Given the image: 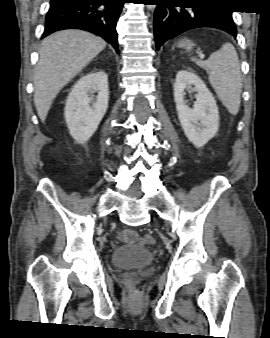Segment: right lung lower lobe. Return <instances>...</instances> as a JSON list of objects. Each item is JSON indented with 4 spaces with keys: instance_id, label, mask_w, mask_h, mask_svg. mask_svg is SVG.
<instances>
[{
    "instance_id": "1",
    "label": "right lung lower lobe",
    "mask_w": 270,
    "mask_h": 338,
    "mask_svg": "<svg viewBox=\"0 0 270 338\" xmlns=\"http://www.w3.org/2000/svg\"><path fill=\"white\" fill-rule=\"evenodd\" d=\"M125 0H51L42 38L62 29H82L103 37L117 52L116 22Z\"/></svg>"
}]
</instances>
